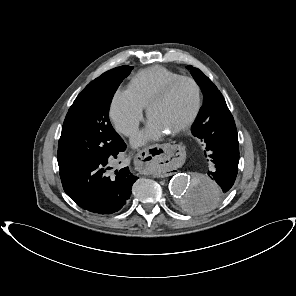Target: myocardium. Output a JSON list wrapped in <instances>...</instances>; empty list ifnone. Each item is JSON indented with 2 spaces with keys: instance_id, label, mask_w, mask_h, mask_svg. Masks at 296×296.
Instances as JSON below:
<instances>
[{
  "instance_id": "obj_1",
  "label": "myocardium",
  "mask_w": 296,
  "mask_h": 296,
  "mask_svg": "<svg viewBox=\"0 0 296 296\" xmlns=\"http://www.w3.org/2000/svg\"><path fill=\"white\" fill-rule=\"evenodd\" d=\"M184 82H188V83L192 84L193 87L195 88L196 104H195L194 110H193L192 114L189 116V118L184 123H182L180 126L175 128L174 130H172L170 132V135H177V134L187 130L197 120V118L201 112L202 105H203V94H202V89H201L200 84L194 78L181 76V77L173 80L172 82H170L164 89H162L158 94H156L148 102V104L146 106V114H147V117L150 118V114H151L152 109L156 105L164 102L172 94V92L176 89V87Z\"/></svg>"
}]
</instances>
